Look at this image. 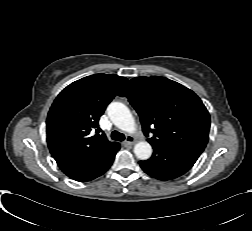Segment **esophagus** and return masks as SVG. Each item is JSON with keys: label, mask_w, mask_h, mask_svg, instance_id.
<instances>
[{"label": "esophagus", "mask_w": 252, "mask_h": 231, "mask_svg": "<svg viewBox=\"0 0 252 231\" xmlns=\"http://www.w3.org/2000/svg\"><path fill=\"white\" fill-rule=\"evenodd\" d=\"M134 143H135V138L131 135H128L126 137L125 142H124V144H126V145H133Z\"/></svg>", "instance_id": "1"}]
</instances>
